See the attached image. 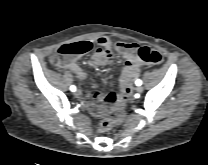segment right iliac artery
<instances>
[{
	"mask_svg": "<svg viewBox=\"0 0 208 165\" xmlns=\"http://www.w3.org/2000/svg\"><path fill=\"white\" fill-rule=\"evenodd\" d=\"M70 90H71L72 92H74V91L76 90V87H75L74 85H72V86L70 87Z\"/></svg>",
	"mask_w": 208,
	"mask_h": 165,
	"instance_id": "1",
	"label": "right iliac artery"
}]
</instances>
